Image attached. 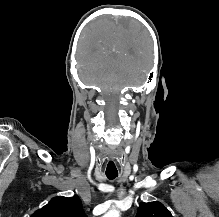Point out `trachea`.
Segmentation results:
<instances>
[{
	"mask_svg": "<svg viewBox=\"0 0 219 217\" xmlns=\"http://www.w3.org/2000/svg\"><path fill=\"white\" fill-rule=\"evenodd\" d=\"M106 176L108 179L113 180L118 176V172H107L106 171Z\"/></svg>",
	"mask_w": 219,
	"mask_h": 217,
	"instance_id": "obj_1",
	"label": "trachea"
}]
</instances>
